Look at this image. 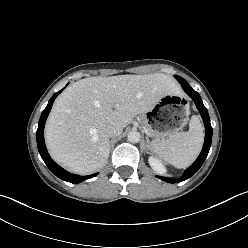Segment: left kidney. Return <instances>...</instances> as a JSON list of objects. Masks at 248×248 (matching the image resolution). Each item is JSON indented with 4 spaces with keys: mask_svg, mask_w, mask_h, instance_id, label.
<instances>
[{
    "mask_svg": "<svg viewBox=\"0 0 248 248\" xmlns=\"http://www.w3.org/2000/svg\"><path fill=\"white\" fill-rule=\"evenodd\" d=\"M148 161H149L150 166L155 172L160 173V174H163L166 172L164 165L156 157L150 156Z\"/></svg>",
    "mask_w": 248,
    "mask_h": 248,
    "instance_id": "left-kidney-1",
    "label": "left kidney"
}]
</instances>
